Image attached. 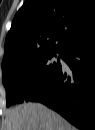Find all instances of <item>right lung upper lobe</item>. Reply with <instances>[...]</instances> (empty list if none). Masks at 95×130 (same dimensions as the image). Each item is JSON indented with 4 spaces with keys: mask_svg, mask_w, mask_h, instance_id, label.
Wrapping results in <instances>:
<instances>
[{
    "mask_svg": "<svg viewBox=\"0 0 95 130\" xmlns=\"http://www.w3.org/2000/svg\"><path fill=\"white\" fill-rule=\"evenodd\" d=\"M95 33V6L87 0H27L5 43L8 71L54 54ZM58 45L55 46V41Z\"/></svg>",
    "mask_w": 95,
    "mask_h": 130,
    "instance_id": "cb5924a9",
    "label": "right lung upper lobe"
}]
</instances>
